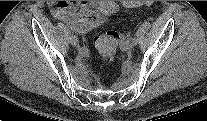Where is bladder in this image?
I'll return each mask as SVG.
<instances>
[{
  "instance_id": "bladder-1",
  "label": "bladder",
  "mask_w": 207,
  "mask_h": 121,
  "mask_svg": "<svg viewBox=\"0 0 207 121\" xmlns=\"http://www.w3.org/2000/svg\"><path fill=\"white\" fill-rule=\"evenodd\" d=\"M101 13L103 15L109 14L114 9V3L113 2H105L101 5Z\"/></svg>"
}]
</instances>
